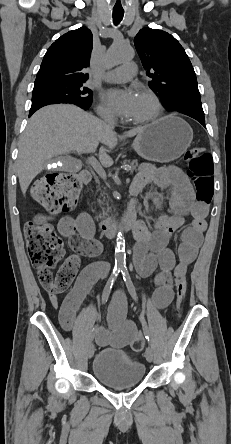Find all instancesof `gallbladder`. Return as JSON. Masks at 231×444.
<instances>
[{"label": "gallbladder", "mask_w": 231, "mask_h": 444, "mask_svg": "<svg viewBox=\"0 0 231 444\" xmlns=\"http://www.w3.org/2000/svg\"><path fill=\"white\" fill-rule=\"evenodd\" d=\"M58 159H55V161H57ZM61 161H66V160H61ZM58 170H64L66 168H57Z\"/></svg>", "instance_id": "gallbladder-1"}]
</instances>
